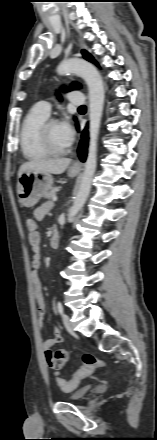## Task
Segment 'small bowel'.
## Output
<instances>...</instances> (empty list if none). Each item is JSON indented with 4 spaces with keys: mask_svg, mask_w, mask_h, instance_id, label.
I'll return each mask as SVG.
<instances>
[{
    "mask_svg": "<svg viewBox=\"0 0 157 440\" xmlns=\"http://www.w3.org/2000/svg\"><path fill=\"white\" fill-rule=\"evenodd\" d=\"M52 203L47 202L39 206L34 211V217L36 220H42L47 213L52 209ZM28 241L32 249V265L34 271L32 272V284L34 290V297L36 301V305L38 308L39 318L37 321L38 328L43 330L44 328V314L46 310L45 298L43 294V287L41 280L38 274V268L41 265V255H40V244L41 237L38 232L29 233ZM54 338L47 339L43 342V348L45 353V358L48 366L55 371V375L58 376L61 374L62 370L67 367V363L69 360V352L65 349H60L61 353L59 356H56L52 351V347L56 344L62 342V334L61 329L58 325L53 326Z\"/></svg>",
    "mask_w": 157,
    "mask_h": 440,
    "instance_id": "small-bowel-1",
    "label": "small bowel"
}]
</instances>
